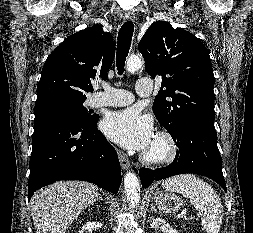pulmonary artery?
Here are the masks:
<instances>
[{
  "label": "pulmonary artery",
  "mask_w": 253,
  "mask_h": 233,
  "mask_svg": "<svg viewBox=\"0 0 253 233\" xmlns=\"http://www.w3.org/2000/svg\"><path fill=\"white\" fill-rule=\"evenodd\" d=\"M104 91L97 94L92 101L95 107L100 106H126L134 101V95L123 89H117L108 85L103 86ZM153 83L148 78H140L136 85V93L139 96H148L152 93Z\"/></svg>",
  "instance_id": "1"
}]
</instances>
